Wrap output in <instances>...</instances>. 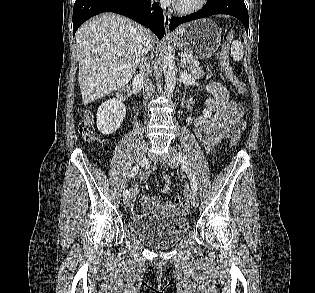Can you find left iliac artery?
<instances>
[{"instance_id": "44dca946", "label": "left iliac artery", "mask_w": 315, "mask_h": 293, "mask_svg": "<svg viewBox=\"0 0 315 293\" xmlns=\"http://www.w3.org/2000/svg\"><path fill=\"white\" fill-rule=\"evenodd\" d=\"M178 159H179V162L181 163L182 168L185 170L186 174L188 175V178H189L190 183H191L192 190L194 192H197V183L195 181V178H194L193 174L191 173V171H190V169L188 167L187 159H186L185 155L182 152H179Z\"/></svg>"}]
</instances>
